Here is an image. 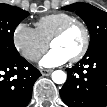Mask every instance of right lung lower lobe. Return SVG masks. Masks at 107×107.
<instances>
[{"label":"right lung lower lobe","mask_w":107,"mask_h":107,"mask_svg":"<svg viewBox=\"0 0 107 107\" xmlns=\"http://www.w3.org/2000/svg\"><path fill=\"white\" fill-rule=\"evenodd\" d=\"M40 75L39 70L21 56L0 55V107H26Z\"/></svg>","instance_id":"right-lung-lower-lobe-1"}]
</instances>
